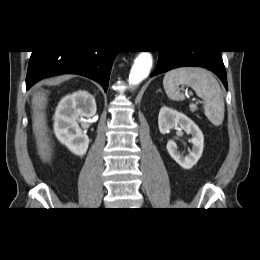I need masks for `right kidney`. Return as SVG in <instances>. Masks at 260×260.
<instances>
[{"label":"right kidney","instance_id":"ca27d5eb","mask_svg":"<svg viewBox=\"0 0 260 260\" xmlns=\"http://www.w3.org/2000/svg\"><path fill=\"white\" fill-rule=\"evenodd\" d=\"M97 111L94 97L87 91H77L59 102L54 116V133L57 139L73 154H86L89 138L80 129L78 117L90 118Z\"/></svg>","mask_w":260,"mask_h":260}]
</instances>
